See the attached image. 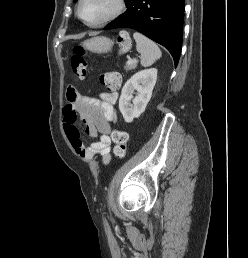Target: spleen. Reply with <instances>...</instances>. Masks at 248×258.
I'll use <instances>...</instances> for the list:
<instances>
[{"instance_id": "spleen-1", "label": "spleen", "mask_w": 248, "mask_h": 258, "mask_svg": "<svg viewBox=\"0 0 248 258\" xmlns=\"http://www.w3.org/2000/svg\"><path fill=\"white\" fill-rule=\"evenodd\" d=\"M136 41V49L141 55V65L151 66L156 60L160 59L162 53L156 43L139 32L133 34Z\"/></svg>"}]
</instances>
